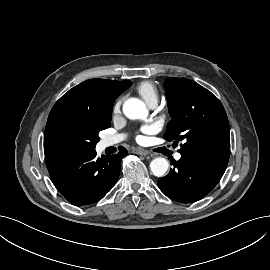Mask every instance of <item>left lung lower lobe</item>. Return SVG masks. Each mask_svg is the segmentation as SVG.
Returning a JSON list of instances; mask_svg holds the SVG:
<instances>
[{
    "instance_id": "obj_1",
    "label": "left lung lower lobe",
    "mask_w": 270,
    "mask_h": 270,
    "mask_svg": "<svg viewBox=\"0 0 270 270\" xmlns=\"http://www.w3.org/2000/svg\"><path fill=\"white\" fill-rule=\"evenodd\" d=\"M229 159L208 154H181L174 168L157 183L169 198L191 203L209 194L223 176Z\"/></svg>"
}]
</instances>
